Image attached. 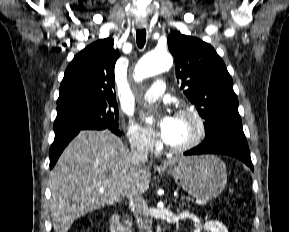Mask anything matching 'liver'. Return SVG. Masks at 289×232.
I'll return each instance as SVG.
<instances>
[{
	"label": "liver",
	"instance_id": "liver-1",
	"mask_svg": "<svg viewBox=\"0 0 289 232\" xmlns=\"http://www.w3.org/2000/svg\"><path fill=\"white\" fill-rule=\"evenodd\" d=\"M129 154L109 131H82L69 143L50 173L49 207L55 232H68L86 213L149 188V168L131 164Z\"/></svg>",
	"mask_w": 289,
	"mask_h": 232
}]
</instances>
